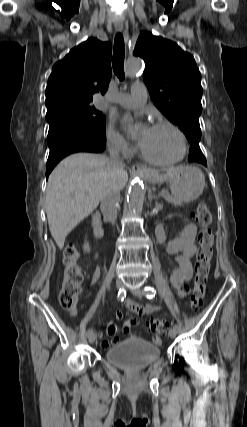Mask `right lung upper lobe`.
<instances>
[{"instance_id": "cb5924a9", "label": "right lung upper lobe", "mask_w": 247, "mask_h": 427, "mask_svg": "<svg viewBox=\"0 0 247 427\" xmlns=\"http://www.w3.org/2000/svg\"><path fill=\"white\" fill-rule=\"evenodd\" d=\"M112 46L89 38L52 68L46 88L47 114L67 106L90 105L94 93L104 94L111 79Z\"/></svg>"}]
</instances>
